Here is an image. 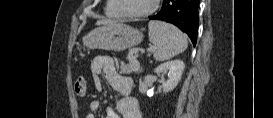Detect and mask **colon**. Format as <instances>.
Instances as JSON below:
<instances>
[{"mask_svg": "<svg viewBox=\"0 0 273 118\" xmlns=\"http://www.w3.org/2000/svg\"><path fill=\"white\" fill-rule=\"evenodd\" d=\"M75 92L78 96H84L86 94V81L83 77H78L75 81Z\"/></svg>", "mask_w": 273, "mask_h": 118, "instance_id": "1", "label": "colon"}]
</instances>
